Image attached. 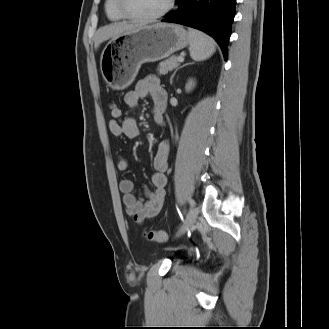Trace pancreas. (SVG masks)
<instances>
[{"label":"pancreas","mask_w":329,"mask_h":329,"mask_svg":"<svg viewBox=\"0 0 329 329\" xmlns=\"http://www.w3.org/2000/svg\"><path fill=\"white\" fill-rule=\"evenodd\" d=\"M179 66L178 57L172 56L169 59L159 63L158 73L161 75L167 74L169 71L177 68Z\"/></svg>","instance_id":"obj_1"}]
</instances>
